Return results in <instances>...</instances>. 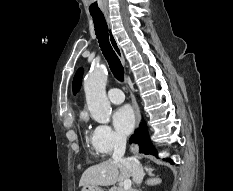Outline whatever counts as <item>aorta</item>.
I'll use <instances>...</instances> for the list:
<instances>
[{
  "instance_id": "obj_1",
  "label": "aorta",
  "mask_w": 233,
  "mask_h": 191,
  "mask_svg": "<svg viewBox=\"0 0 233 191\" xmlns=\"http://www.w3.org/2000/svg\"><path fill=\"white\" fill-rule=\"evenodd\" d=\"M107 69L94 67L86 76L84 91L91 117L99 123L107 124L111 117V105L106 96Z\"/></svg>"
}]
</instances>
